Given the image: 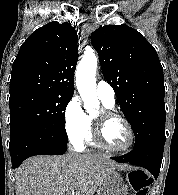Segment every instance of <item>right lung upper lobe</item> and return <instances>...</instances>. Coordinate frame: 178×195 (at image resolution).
I'll return each instance as SVG.
<instances>
[{"mask_svg": "<svg viewBox=\"0 0 178 195\" xmlns=\"http://www.w3.org/2000/svg\"><path fill=\"white\" fill-rule=\"evenodd\" d=\"M78 36L68 22H50L22 44L12 66L10 96L26 91L74 94Z\"/></svg>", "mask_w": 178, "mask_h": 195, "instance_id": "right-lung-upper-lobe-1", "label": "right lung upper lobe"}]
</instances>
